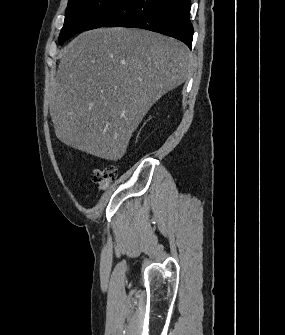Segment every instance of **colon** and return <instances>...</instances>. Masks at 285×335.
<instances>
[{
	"mask_svg": "<svg viewBox=\"0 0 285 335\" xmlns=\"http://www.w3.org/2000/svg\"><path fill=\"white\" fill-rule=\"evenodd\" d=\"M117 176V169L113 165H108L102 169H98L93 173L94 181L101 187H108Z\"/></svg>",
	"mask_w": 285,
	"mask_h": 335,
	"instance_id": "5ec220e1",
	"label": "colon"
}]
</instances>
